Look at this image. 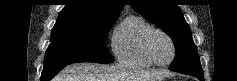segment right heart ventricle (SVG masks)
<instances>
[{"mask_svg": "<svg viewBox=\"0 0 237 81\" xmlns=\"http://www.w3.org/2000/svg\"><path fill=\"white\" fill-rule=\"evenodd\" d=\"M151 24L140 15H128L115 28L112 49L118 62L132 67H151L143 48L144 37L152 29Z\"/></svg>", "mask_w": 237, "mask_h": 81, "instance_id": "1", "label": "right heart ventricle"}]
</instances>
